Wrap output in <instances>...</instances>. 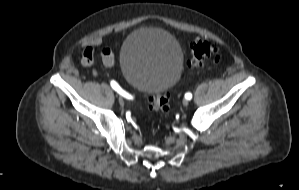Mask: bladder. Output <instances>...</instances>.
Wrapping results in <instances>:
<instances>
[{
	"instance_id": "obj_1",
	"label": "bladder",
	"mask_w": 299,
	"mask_h": 190,
	"mask_svg": "<svg viewBox=\"0 0 299 190\" xmlns=\"http://www.w3.org/2000/svg\"><path fill=\"white\" fill-rule=\"evenodd\" d=\"M119 64L126 81L148 94H163L179 80L183 54L176 38L158 28H140L123 43Z\"/></svg>"
}]
</instances>
